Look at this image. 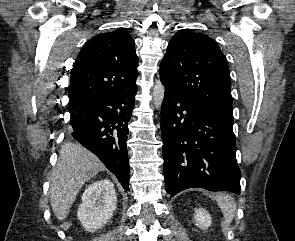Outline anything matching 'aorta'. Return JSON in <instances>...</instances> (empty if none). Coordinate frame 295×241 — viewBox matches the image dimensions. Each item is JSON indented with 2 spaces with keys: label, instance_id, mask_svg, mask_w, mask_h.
<instances>
[{
  "label": "aorta",
  "instance_id": "aorta-1",
  "mask_svg": "<svg viewBox=\"0 0 295 241\" xmlns=\"http://www.w3.org/2000/svg\"><path fill=\"white\" fill-rule=\"evenodd\" d=\"M164 94H165V87L163 85V83L158 80L156 81L154 88H153V103L154 106L159 109L162 105V102L164 100Z\"/></svg>",
  "mask_w": 295,
  "mask_h": 241
}]
</instances>
